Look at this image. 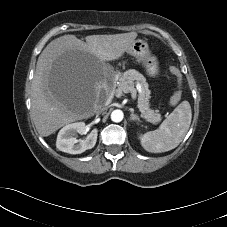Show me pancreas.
<instances>
[{
    "mask_svg": "<svg viewBox=\"0 0 227 227\" xmlns=\"http://www.w3.org/2000/svg\"><path fill=\"white\" fill-rule=\"evenodd\" d=\"M116 89L114 90L115 96H122V89L124 87H134L135 82L141 85V90L138 95L137 107L141 112V117L150 123L157 124L161 121V115L158 111L150 109V90L146 78L135 69H130L120 74L117 79Z\"/></svg>",
    "mask_w": 227,
    "mask_h": 227,
    "instance_id": "pancreas-1",
    "label": "pancreas"
}]
</instances>
